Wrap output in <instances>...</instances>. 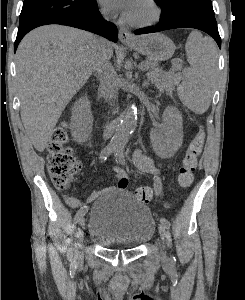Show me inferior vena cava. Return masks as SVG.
Instances as JSON below:
<instances>
[{"label":"inferior vena cava","mask_w":245,"mask_h":300,"mask_svg":"<svg viewBox=\"0 0 245 300\" xmlns=\"http://www.w3.org/2000/svg\"><path fill=\"white\" fill-rule=\"evenodd\" d=\"M92 65L93 70L96 71L98 74L104 72L103 80L106 96L110 100H115L118 95L117 75L115 70L109 63V60H107L104 55L102 41H98L97 43Z\"/></svg>","instance_id":"inferior-vena-cava-1"}]
</instances>
